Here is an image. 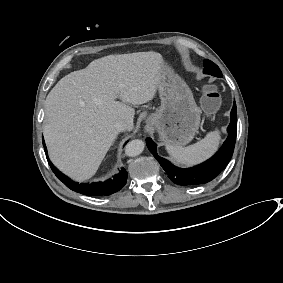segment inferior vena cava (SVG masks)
I'll use <instances>...</instances> for the list:
<instances>
[{
    "label": "inferior vena cava",
    "mask_w": 283,
    "mask_h": 283,
    "mask_svg": "<svg viewBox=\"0 0 283 283\" xmlns=\"http://www.w3.org/2000/svg\"><path fill=\"white\" fill-rule=\"evenodd\" d=\"M115 128L118 132L129 130V126L125 121L117 122Z\"/></svg>",
    "instance_id": "inferior-vena-cava-1"
}]
</instances>
